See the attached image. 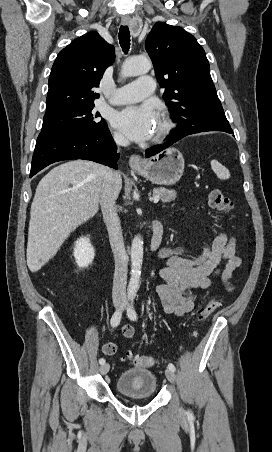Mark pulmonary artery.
<instances>
[{
    "label": "pulmonary artery",
    "instance_id": "pulmonary-artery-1",
    "mask_svg": "<svg viewBox=\"0 0 272 452\" xmlns=\"http://www.w3.org/2000/svg\"><path fill=\"white\" fill-rule=\"evenodd\" d=\"M155 89L152 77H141L138 80L117 88L110 100L111 104L123 105L141 101L151 96Z\"/></svg>",
    "mask_w": 272,
    "mask_h": 452
}]
</instances>
